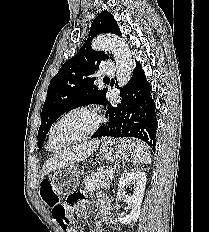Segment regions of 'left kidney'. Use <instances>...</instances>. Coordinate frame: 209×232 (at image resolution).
Masks as SVG:
<instances>
[{
  "mask_svg": "<svg viewBox=\"0 0 209 232\" xmlns=\"http://www.w3.org/2000/svg\"><path fill=\"white\" fill-rule=\"evenodd\" d=\"M146 174L142 171H130L121 176L118 183V194L122 196L128 204L132 205V211L126 217H118L121 224H131L136 222L140 215V207L146 186ZM133 186L131 194H126L127 187Z\"/></svg>",
  "mask_w": 209,
  "mask_h": 232,
  "instance_id": "1",
  "label": "left kidney"
}]
</instances>
